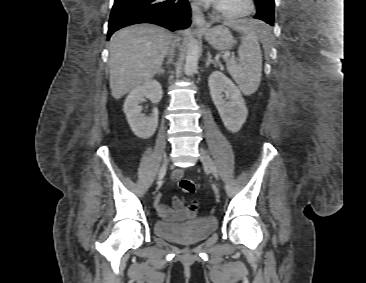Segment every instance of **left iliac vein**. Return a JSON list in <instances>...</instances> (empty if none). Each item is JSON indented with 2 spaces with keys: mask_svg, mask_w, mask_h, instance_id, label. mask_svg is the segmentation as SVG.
Returning a JSON list of instances; mask_svg holds the SVG:
<instances>
[{
  "mask_svg": "<svg viewBox=\"0 0 366 283\" xmlns=\"http://www.w3.org/2000/svg\"><path fill=\"white\" fill-rule=\"evenodd\" d=\"M199 152L202 163L207 166L215 178H218V170L210 155L203 148H200Z\"/></svg>",
  "mask_w": 366,
  "mask_h": 283,
  "instance_id": "left-iliac-vein-1",
  "label": "left iliac vein"
}]
</instances>
